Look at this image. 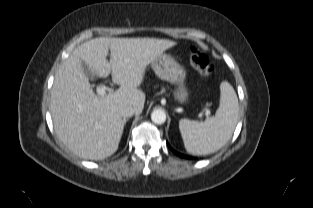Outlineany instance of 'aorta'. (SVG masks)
Wrapping results in <instances>:
<instances>
[{
	"instance_id": "762f6f07",
	"label": "aorta",
	"mask_w": 313,
	"mask_h": 208,
	"mask_svg": "<svg viewBox=\"0 0 313 208\" xmlns=\"http://www.w3.org/2000/svg\"><path fill=\"white\" fill-rule=\"evenodd\" d=\"M151 119L155 124H163L166 121V113L162 109H155L151 113Z\"/></svg>"
}]
</instances>
